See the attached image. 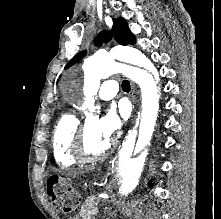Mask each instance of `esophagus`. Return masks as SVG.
<instances>
[{
    "label": "esophagus",
    "mask_w": 221,
    "mask_h": 219,
    "mask_svg": "<svg viewBox=\"0 0 221 219\" xmlns=\"http://www.w3.org/2000/svg\"><path fill=\"white\" fill-rule=\"evenodd\" d=\"M136 101V89L134 86H132V102L134 103Z\"/></svg>",
    "instance_id": "1"
}]
</instances>
